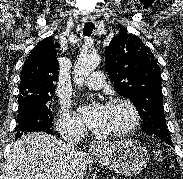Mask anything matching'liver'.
<instances>
[{
  "label": "liver",
  "mask_w": 183,
  "mask_h": 179,
  "mask_svg": "<svg viewBox=\"0 0 183 179\" xmlns=\"http://www.w3.org/2000/svg\"><path fill=\"white\" fill-rule=\"evenodd\" d=\"M87 167V157L79 153L78 169L82 176ZM3 179H72L65 143L43 132L23 135L11 147Z\"/></svg>",
  "instance_id": "liver-1"
}]
</instances>
